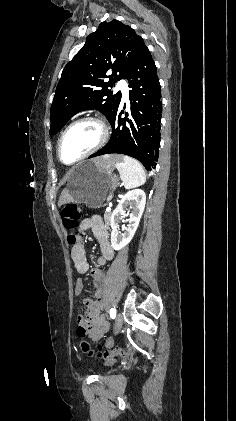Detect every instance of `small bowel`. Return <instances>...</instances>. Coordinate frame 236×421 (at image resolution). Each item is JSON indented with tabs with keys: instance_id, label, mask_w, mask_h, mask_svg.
Returning a JSON list of instances; mask_svg holds the SVG:
<instances>
[{
	"instance_id": "c3829d8e",
	"label": "small bowel",
	"mask_w": 236,
	"mask_h": 421,
	"mask_svg": "<svg viewBox=\"0 0 236 421\" xmlns=\"http://www.w3.org/2000/svg\"><path fill=\"white\" fill-rule=\"evenodd\" d=\"M92 230L94 236L96 237V239L100 242V243H104L107 241L108 238V230L107 227L105 226V224L103 223L102 219L98 216H92L89 218L84 219L79 227V232L80 233H84L87 230ZM76 252H79V256H78V260L81 263V267L80 270L82 271H86L87 269V263L84 257V250L82 245H79L78 247L75 248V255ZM83 290V284L82 282H77L76 287H75V292L77 294H80ZM98 328H99V333L92 335L95 338L100 337L101 335H103L106 331H107V324L105 323L103 318H100L98 320Z\"/></svg>"
}]
</instances>
